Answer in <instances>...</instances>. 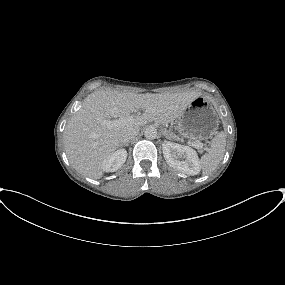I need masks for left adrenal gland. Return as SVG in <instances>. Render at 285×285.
Listing matches in <instances>:
<instances>
[{
    "label": "left adrenal gland",
    "instance_id": "a2214340",
    "mask_svg": "<svg viewBox=\"0 0 285 285\" xmlns=\"http://www.w3.org/2000/svg\"><path fill=\"white\" fill-rule=\"evenodd\" d=\"M162 133H163V135H164L166 138H168V139H171V138H172V136H171L172 134H171L170 132L164 130V131H162Z\"/></svg>",
    "mask_w": 285,
    "mask_h": 285
}]
</instances>
